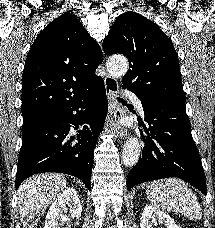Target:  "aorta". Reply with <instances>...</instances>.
<instances>
[{
  "mask_svg": "<svg viewBox=\"0 0 215 228\" xmlns=\"http://www.w3.org/2000/svg\"><path fill=\"white\" fill-rule=\"evenodd\" d=\"M107 68L111 76H116V78H119V76H124V74H126L129 68V62L127 58H119V56H116V58H111V60H109ZM140 154L141 146L138 138H135V136H130L122 152V162L124 166H126V168H132V166H136L140 158Z\"/></svg>",
  "mask_w": 215,
  "mask_h": 228,
  "instance_id": "obj_1",
  "label": "aorta"
}]
</instances>
